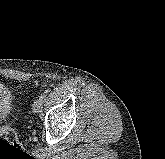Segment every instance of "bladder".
Returning a JSON list of instances; mask_svg holds the SVG:
<instances>
[{
	"label": "bladder",
	"mask_w": 165,
	"mask_h": 159,
	"mask_svg": "<svg viewBox=\"0 0 165 159\" xmlns=\"http://www.w3.org/2000/svg\"><path fill=\"white\" fill-rule=\"evenodd\" d=\"M11 97L10 89L0 82V105L5 104Z\"/></svg>",
	"instance_id": "obj_1"
}]
</instances>
